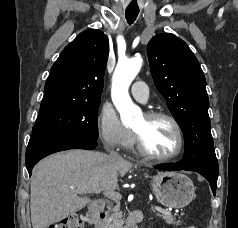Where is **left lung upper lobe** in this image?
I'll list each match as a JSON object with an SVG mask.
<instances>
[{
    "mask_svg": "<svg viewBox=\"0 0 238 228\" xmlns=\"http://www.w3.org/2000/svg\"><path fill=\"white\" fill-rule=\"evenodd\" d=\"M150 70L158 91L184 134L183 166L218 167L206 79L188 45L173 34L154 36L147 45Z\"/></svg>",
    "mask_w": 238,
    "mask_h": 228,
    "instance_id": "1",
    "label": "left lung upper lobe"
}]
</instances>
